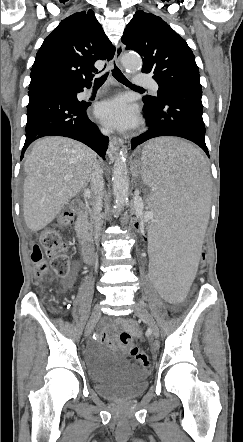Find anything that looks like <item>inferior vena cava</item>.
I'll use <instances>...</instances> for the list:
<instances>
[{
	"label": "inferior vena cava",
	"instance_id": "obj_1",
	"mask_svg": "<svg viewBox=\"0 0 243 442\" xmlns=\"http://www.w3.org/2000/svg\"><path fill=\"white\" fill-rule=\"evenodd\" d=\"M103 134H109L110 131L103 129ZM104 189L103 181V171L98 162L93 166V171L91 175V190L93 193V211L91 215L92 230L96 244L99 243V238L101 235V216L100 210L102 206V195Z\"/></svg>",
	"mask_w": 243,
	"mask_h": 442
}]
</instances>
